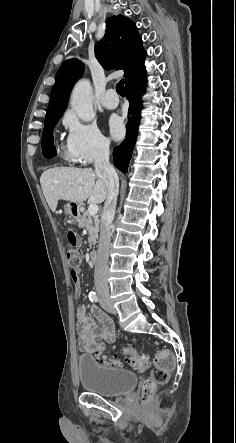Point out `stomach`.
Instances as JSON below:
<instances>
[{
    "mask_svg": "<svg viewBox=\"0 0 236 443\" xmlns=\"http://www.w3.org/2000/svg\"><path fill=\"white\" fill-rule=\"evenodd\" d=\"M81 205L69 202L64 206V212L69 218L78 219L80 217Z\"/></svg>",
    "mask_w": 236,
    "mask_h": 443,
    "instance_id": "obj_1",
    "label": "stomach"
}]
</instances>
